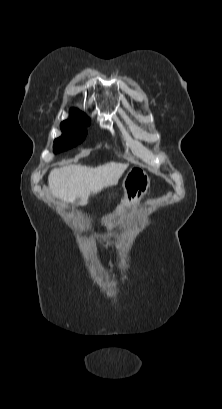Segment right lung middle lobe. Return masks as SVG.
Segmentation results:
<instances>
[{
    "label": "right lung middle lobe",
    "mask_w": 222,
    "mask_h": 409,
    "mask_svg": "<svg viewBox=\"0 0 222 409\" xmlns=\"http://www.w3.org/2000/svg\"><path fill=\"white\" fill-rule=\"evenodd\" d=\"M86 124H89V118L84 113H71L70 119L61 123L63 135L54 141V152L65 151L81 143L87 134Z\"/></svg>",
    "instance_id": "dd1d6c3e"
}]
</instances>
